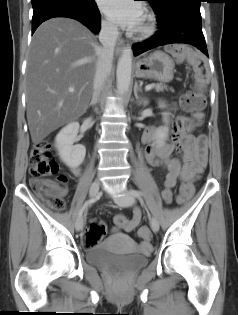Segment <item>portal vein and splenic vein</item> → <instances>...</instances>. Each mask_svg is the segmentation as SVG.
<instances>
[{
  "instance_id": "18ae733b",
  "label": "portal vein and splenic vein",
  "mask_w": 238,
  "mask_h": 315,
  "mask_svg": "<svg viewBox=\"0 0 238 315\" xmlns=\"http://www.w3.org/2000/svg\"><path fill=\"white\" fill-rule=\"evenodd\" d=\"M152 87H153V85L150 84V85H147V86L145 87V89H146V90H150ZM73 91H74V88H69V92H73Z\"/></svg>"
}]
</instances>
